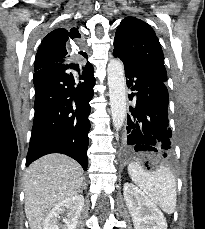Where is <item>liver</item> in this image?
Returning a JSON list of instances; mask_svg holds the SVG:
<instances>
[{
	"mask_svg": "<svg viewBox=\"0 0 205 229\" xmlns=\"http://www.w3.org/2000/svg\"><path fill=\"white\" fill-rule=\"evenodd\" d=\"M82 184V167L66 155L48 154L33 162L24 180L25 214L30 229H42L51 208L78 195Z\"/></svg>",
	"mask_w": 205,
	"mask_h": 229,
	"instance_id": "obj_1",
	"label": "liver"
}]
</instances>
